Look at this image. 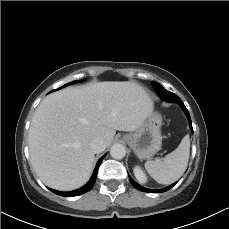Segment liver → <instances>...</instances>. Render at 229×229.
<instances>
[{"label": "liver", "instance_id": "6515ba94", "mask_svg": "<svg viewBox=\"0 0 229 229\" xmlns=\"http://www.w3.org/2000/svg\"><path fill=\"white\" fill-rule=\"evenodd\" d=\"M153 108L144 88L131 81L95 82L48 95L29 129L33 170L53 189L83 186L93 169L91 142L100 137L108 147L116 130L136 131Z\"/></svg>", "mask_w": 229, "mask_h": 229}]
</instances>
